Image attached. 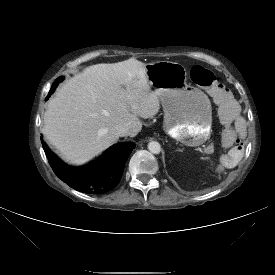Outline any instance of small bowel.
Masks as SVG:
<instances>
[{
	"label": "small bowel",
	"mask_w": 275,
	"mask_h": 275,
	"mask_svg": "<svg viewBox=\"0 0 275 275\" xmlns=\"http://www.w3.org/2000/svg\"><path fill=\"white\" fill-rule=\"evenodd\" d=\"M226 103L218 112L220 123L226 126L222 135L224 149L220 152L219 161L225 169L233 170L240 165L247 150L246 126L239 103L232 96Z\"/></svg>",
	"instance_id": "1"
}]
</instances>
